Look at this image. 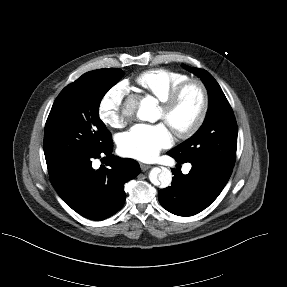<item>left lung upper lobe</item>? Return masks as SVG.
I'll return each mask as SVG.
<instances>
[{
  "instance_id": "obj_1",
  "label": "left lung upper lobe",
  "mask_w": 287,
  "mask_h": 287,
  "mask_svg": "<svg viewBox=\"0 0 287 287\" xmlns=\"http://www.w3.org/2000/svg\"><path fill=\"white\" fill-rule=\"evenodd\" d=\"M183 66L202 79L208 90L209 108L205 121L197 133L169 153L182 160L203 157L233 168L238 130L232 108L221 87L209 72Z\"/></svg>"
}]
</instances>
